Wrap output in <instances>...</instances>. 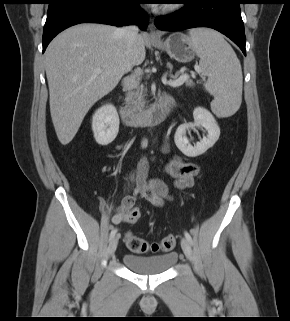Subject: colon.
<instances>
[{
	"label": "colon",
	"mask_w": 290,
	"mask_h": 321,
	"mask_svg": "<svg viewBox=\"0 0 290 321\" xmlns=\"http://www.w3.org/2000/svg\"><path fill=\"white\" fill-rule=\"evenodd\" d=\"M140 217V210L133 209L128 215L129 222H134ZM125 243L129 250L136 253H158L170 252L176 244V239L173 235H167L159 241H147L131 232L126 233Z\"/></svg>",
	"instance_id": "5ec220e1"
}]
</instances>
